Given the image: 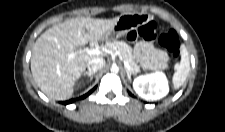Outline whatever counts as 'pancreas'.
I'll use <instances>...</instances> for the list:
<instances>
[{
	"label": "pancreas",
	"instance_id": "obj_1",
	"mask_svg": "<svg viewBox=\"0 0 225 132\" xmlns=\"http://www.w3.org/2000/svg\"><path fill=\"white\" fill-rule=\"evenodd\" d=\"M105 49H107L108 51L117 53L120 58L127 61L129 65L131 66L133 72L136 73L139 71L140 66L133 59V53H132L133 50L125 42L123 41L107 42L105 44ZM167 66H168L167 63L164 62L159 66V68L165 69L167 68Z\"/></svg>",
	"mask_w": 225,
	"mask_h": 132
}]
</instances>
